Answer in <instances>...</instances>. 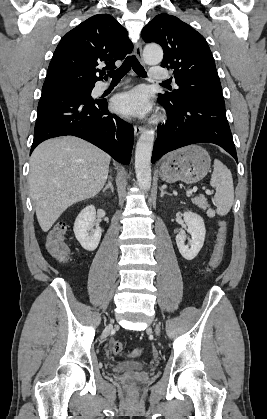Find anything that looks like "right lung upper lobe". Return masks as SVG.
I'll return each instance as SVG.
<instances>
[{
	"label": "right lung upper lobe",
	"instance_id": "1",
	"mask_svg": "<svg viewBox=\"0 0 267 419\" xmlns=\"http://www.w3.org/2000/svg\"><path fill=\"white\" fill-rule=\"evenodd\" d=\"M133 50L128 33L108 14L90 17L69 31L59 42L50 62L43 88L66 85L94 87L107 79L105 69H114ZM104 63L102 70L96 68ZM100 72V76L96 75Z\"/></svg>",
	"mask_w": 267,
	"mask_h": 419
}]
</instances>
